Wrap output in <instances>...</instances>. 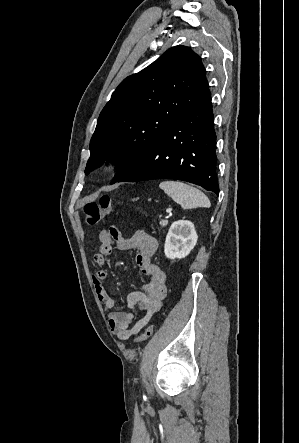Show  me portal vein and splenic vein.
I'll return each instance as SVG.
<instances>
[{
    "label": "portal vein and splenic vein",
    "mask_w": 299,
    "mask_h": 443,
    "mask_svg": "<svg viewBox=\"0 0 299 443\" xmlns=\"http://www.w3.org/2000/svg\"><path fill=\"white\" fill-rule=\"evenodd\" d=\"M171 211H172L171 208H168V209L166 210L167 213H170Z\"/></svg>",
    "instance_id": "obj_1"
}]
</instances>
